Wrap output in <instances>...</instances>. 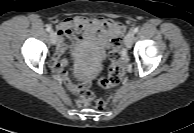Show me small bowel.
Instances as JSON below:
<instances>
[{
    "label": "small bowel",
    "mask_w": 194,
    "mask_h": 133,
    "mask_svg": "<svg viewBox=\"0 0 194 133\" xmlns=\"http://www.w3.org/2000/svg\"><path fill=\"white\" fill-rule=\"evenodd\" d=\"M57 30L59 40L51 65L53 70L65 82L68 89L74 94L80 92L81 86L70 80L64 69L67 65V60L61 58V56L69 49L65 38H68L74 46L83 42L93 41L102 48H108L114 38L121 37L125 32L124 26L112 19L85 16L66 18L57 25Z\"/></svg>",
    "instance_id": "obj_1"
}]
</instances>
